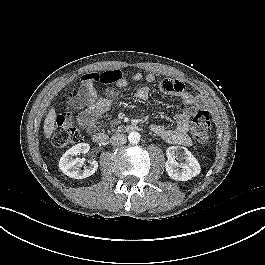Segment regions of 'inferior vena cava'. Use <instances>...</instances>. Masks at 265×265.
I'll list each match as a JSON object with an SVG mask.
<instances>
[{
	"mask_svg": "<svg viewBox=\"0 0 265 265\" xmlns=\"http://www.w3.org/2000/svg\"><path fill=\"white\" fill-rule=\"evenodd\" d=\"M127 141V137L125 134H120V133H117L115 135H113L111 138H110V143L112 145H121V144H125Z\"/></svg>",
	"mask_w": 265,
	"mask_h": 265,
	"instance_id": "obj_1",
	"label": "inferior vena cava"
}]
</instances>
